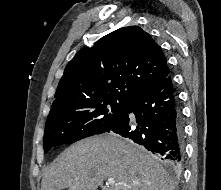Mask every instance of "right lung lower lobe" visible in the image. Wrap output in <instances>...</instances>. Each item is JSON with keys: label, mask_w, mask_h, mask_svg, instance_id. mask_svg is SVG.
<instances>
[{"label": "right lung lower lobe", "mask_w": 221, "mask_h": 190, "mask_svg": "<svg viewBox=\"0 0 221 190\" xmlns=\"http://www.w3.org/2000/svg\"><path fill=\"white\" fill-rule=\"evenodd\" d=\"M145 147L171 167L184 154L183 120L171 76L126 101L121 120L110 130Z\"/></svg>", "instance_id": "98d812e1"}]
</instances>
